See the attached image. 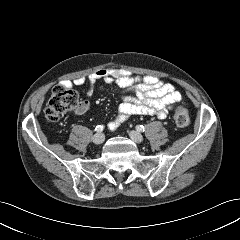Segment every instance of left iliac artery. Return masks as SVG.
I'll return each mask as SVG.
<instances>
[{
    "mask_svg": "<svg viewBox=\"0 0 240 240\" xmlns=\"http://www.w3.org/2000/svg\"><path fill=\"white\" fill-rule=\"evenodd\" d=\"M136 129H137V131H139V132H144V131H145V128H144L143 125H137V126H136Z\"/></svg>",
    "mask_w": 240,
    "mask_h": 240,
    "instance_id": "1",
    "label": "left iliac artery"
}]
</instances>
